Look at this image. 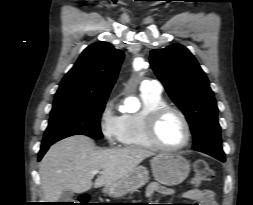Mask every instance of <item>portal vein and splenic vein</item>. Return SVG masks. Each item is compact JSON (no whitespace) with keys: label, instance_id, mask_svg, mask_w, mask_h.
<instances>
[{"label":"portal vein and splenic vein","instance_id":"obj_1","mask_svg":"<svg viewBox=\"0 0 253 205\" xmlns=\"http://www.w3.org/2000/svg\"><path fill=\"white\" fill-rule=\"evenodd\" d=\"M99 172H100L99 170H95V171L92 172V174H97Z\"/></svg>","mask_w":253,"mask_h":205}]
</instances>
